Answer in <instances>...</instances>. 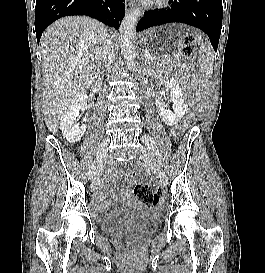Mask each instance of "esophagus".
<instances>
[{"label":"esophagus","mask_w":265,"mask_h":273,"mask_svg":"<svg viewBox=\"0 0 265 273\" xmlns=\"http://www.w3.org/2000/svg\"><path fill=\"white\" fill-rule=\"evenodd\" d=\"M136 4H135V1L134 0H131L130 3H129V7L132 8L134 7Z\"/></svg>","instance_id":"obj_1"}]
</instances>
